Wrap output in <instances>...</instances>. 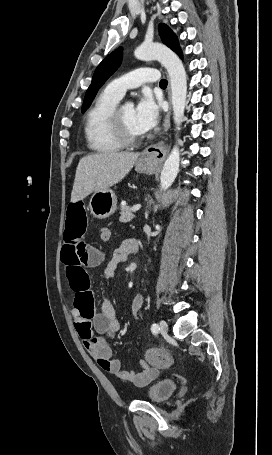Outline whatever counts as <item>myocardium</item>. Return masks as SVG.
I'll return each mask as SVG.
<instances>
[{
  "label": "myocardium",
  "instance_id": "1",
  "mask_svg": "<svg viewBox=\"0 0 272 455\" xmlns=\"http://www.w3.org/2000/svg\"><path fill=\"white\" fill-rule=\"evenodd\" d=\"M124 105L117 104L109 115V127L115 140L125 147L135 146L141 140L142 136L131 135L123 122L122 109Z\"/></svg>",
  "mask_w": 272,
  "mask_h": 455
}]
</instances>
